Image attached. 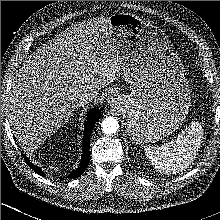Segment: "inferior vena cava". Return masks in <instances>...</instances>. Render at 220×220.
<instances>
[{"label":"inferior vena cava","mask_w":220,"mask_h":220,"mask_svg":"<svg viewBox=\"0 0 220 220\" xmlns=\"http://www.w3.org/2000/svg\"><path fill=\"white\" fill-rule=\"evenodd\" d=\"M96 98H97V95L94 92H85L80 95V97L78 98L77 104L79 106H83L89 102H92L93 100H96Z\"/></svg>","instance_id":"inferior-vena-cava-1"}]
</instances>
